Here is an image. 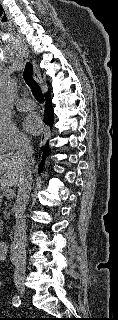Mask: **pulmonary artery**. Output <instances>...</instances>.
<instances>
[{
  "label": "pulmonary artery",
  "mask_w": 118,
  "mask_h": 320,
  "mask_svg": "<svg viewBox=\"0 0 118 320\" xmlns=\"http://www.w3.org/2000/svg\"><path fill=\"white\" fill-rule=\"evenodd\" d=\"M35 108V102L31 99H21L17 103V109L20 111H31Z\"/></svg>",
  "instance_id": "pulmonary-artery-1"
}]
</instances>
